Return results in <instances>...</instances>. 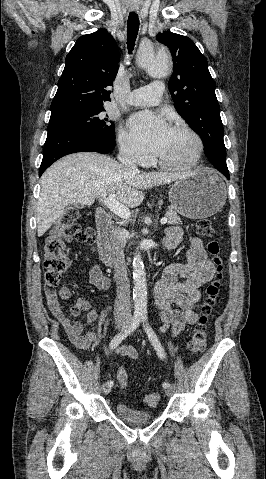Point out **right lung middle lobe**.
Here are the masks:
<instances>
[{
  "label": "right lung middle lobe",
  "mask_w": 266,
  "mask_h": 479,
  "mask_svg": "<svg viewBox=\"0 0 266 479\" xmlns=\"http://www.w3.org/2000/svg\"><path fill=\"white\" fill-rule=\"evenodd\" d=\"M104 108H74L52 112L50 126L73 128L107 138H113L114 126L103 115Z\"/></svg>",
  "instance_id": "1"
}]
</instances>
